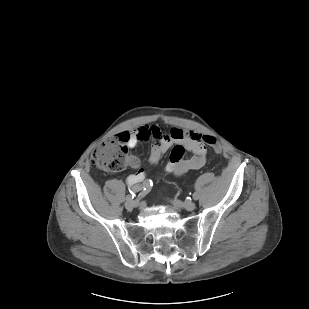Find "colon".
<instances>
[{
    "label": "colon",
    "mask_w": 309,
    "mask_h": 309,
    "mask_svg": "<svg viewBox=\"0 0 309 309\" xmlns=\"http://www.w3.org/2000/svg\"><path fill=\"white\" fill-rule=\"evenodd\" d=\"M202 141L215 152L221 151V146L213 136L204 135ZM126 143V140L120 136L105 140L92 153L91 165L108 172L123 170L127 165L128 148Z\"/></svg>",
    "instance_id": "obj_1"
}]
</instances>
